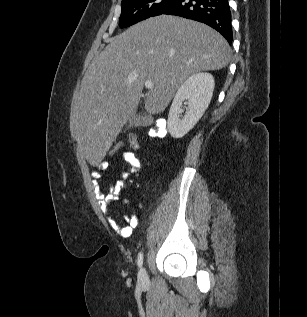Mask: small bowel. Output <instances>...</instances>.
Masks as SVG:
<instances>
[{
    "instance_id": "obj_1",
    "label": "small bowel",
    "mask_w": 307,
    "mask_h": 317,
    "mask_svg": "<svg viewBox=\"0 0 307 317\" xmlns=\"http://www.w3.org/2000/svg\"><path fill=\"white\" fill-rule=\"evenodd\" d=\"M124 164L127 167V171H121V179L113 184H110L106 192H102L99 186V181L102 179L103 174L108 172L114 166L118 164ZM141 169V162L133 152H124L121 156L112 158L108 161H103L98 164L97 170L93 172L95 178V191L98 196V202L102 212L109 219L112 228L122 237L127 238L131 236L133 230L138 226V219L135 215L126 216L125 223L118 222L111 214L110 205L113 201L120 199V194L127 186L126 179L131 173H137ZM125 203H128L125 200Z\"/></svg>"
}]
</instances>
